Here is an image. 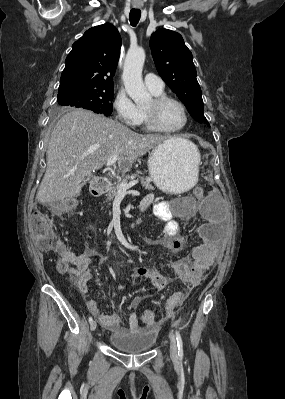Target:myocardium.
<instances>
[{"mask_svg": "<svg viewBox=\"0 0 285 399\" xmlns=\"http://www.w3.org/2000/svg\"><path fill=\"white\" fill-rule=\"evenodd\" d=\"M167 102H174L181 108L183 115H184V122L181 126L176 127V128H167L161 124L160 117H159V110ZM144 111H145L146 119H147L149 126L154 131H157V132H162V133L178 132V131L182 130L188 123V112H187L185 105L183 104L182 101H180L179 99H177L173 96H170V95L162 94L159 96H155L152 99V106L150 108H145Z\"/></svg>", "mask_w": 285, "mask_h": 399, "instance_id": "myocardium-1", "label": "myocardium"}]
</instances>
